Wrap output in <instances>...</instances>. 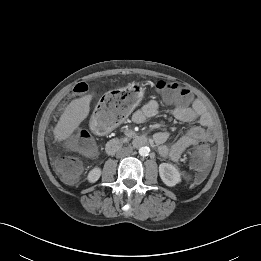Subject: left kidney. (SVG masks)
I'll return each instance as SVG.
<instances>
[{
    "mask_svg": "<svg viewBox=\"0 0 261 261\" xmlns=\"http://www.w3.org/2000/svg\"><path fill=\"white\" fill-rule=\"evenodd\" d=\"M159 175L161 180L169 187H174L181 182V174L179 170L169 163H161L159 165Z\"/></svg>",
    "mask_w": 261,
    "mask_h": 261,
    "instance_id": "left-kidney-1",
    "label": "left kidney"
}]
</instances>
